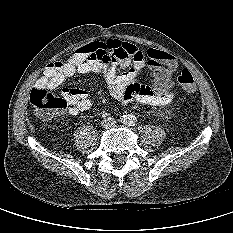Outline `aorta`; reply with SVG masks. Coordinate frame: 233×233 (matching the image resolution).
<instances>
[{
  "label": "aorta",
  "mask_w": 233,
  "mask_h": 233,
  "mask_svg": "<svg viewBox=\"0 0 233 233\" xmlns=\"http://www.w3.org/2000/svg\"><path fill=\"white\" fill-rule=\"evenodd\" d=\"M136 122H137V119L135 115H132V114L126 115L124 118V123L126 125L133 126L135 125Z\"/></svg>",
  "instance_id": "aorta-1"
}]
</instances>
